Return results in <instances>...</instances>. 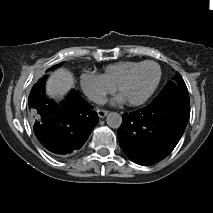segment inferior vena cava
Returning a JSON list of instances; mask_svg holds the SVG:
<instances>
[{
    "mask_svg": "<svg viewBox=\"0 0 213 213\" xmlns=\"http://www.w3.org/2000/svg\"><path fill=\"white\" fill-rule=\"evenodd\" d=\"M90 100L99 105L105 104V102H106L105 98L98 94L91 95Z\"/></svg>",
    "mask_w": 213,
    "mask_h": 213,
    "instance_id": "1",
    "label": "inferior vena cava"
}]
</instances>
